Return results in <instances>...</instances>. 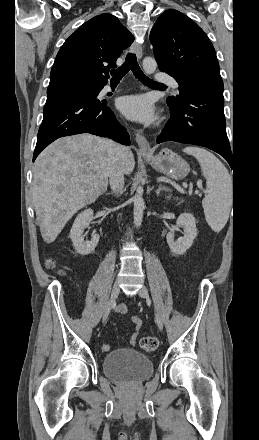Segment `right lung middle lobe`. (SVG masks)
Here are the masks:
<instances>
[{"label":"right lung middle lobe","mask_w":259,"mask_h":440,"mask_svg":"<svg viewBox=\"0 0 259 440\" xmlns=\"http://www.w3.org/2000/svg\"><path fill=\"white\" fill-rule=\"evenodd\" d=\"M101 89L102 88L77 87V88H73V89H69V90H65V91H61V92L48 94V96L49 95L70 94V93H76V92H99V91H101Z\"/></svg>","instance_id":"right-lung-middle-lobe-1"}]
</instances>
